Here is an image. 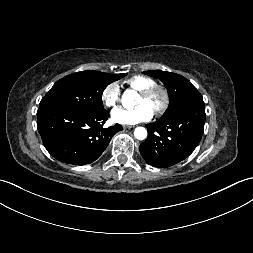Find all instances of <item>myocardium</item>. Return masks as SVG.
Listing matches in <instances>:
<instances>
[{
    "mask_svg": "<svg viewBox=\"0 0 253 253\" xmlns=\"http://www.w3.org/2000/svg\"><path fill=\"white\" fill-rule=\"evenodd\" d=\"M139 94L146 100L151 101L156 96H160V102L155 105L153 113L155 115H162L168 108L170 103V96L168 90L162 85H153L145 90L139 91Z\"/></svg>",
    "mask_w": 253,
    "mask_h": 253,
    "instance_id": "myocardium-1",
    "label": "myocardium"
}]
</instances>
